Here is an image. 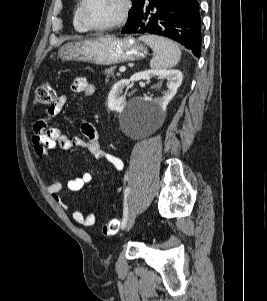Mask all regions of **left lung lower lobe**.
I'll return each instance as SVG.
<instances>
[{
	"label": "left lung lower lobe",
	"mask_w": 267,
	"mask_h": 301,
	"mask_svg": "<svg viewBox=\"0 0 267 301\" xmlns=\"http://www.w3.org/2000/svg\"><path fill=\"white\" fill-rule=\"evenodd\" d=\"M122 33H148L181 43L200 57L201 19L197 0H145Z\"/></svg>",
	"instance_id": "obj_1"
}]
</instances>
